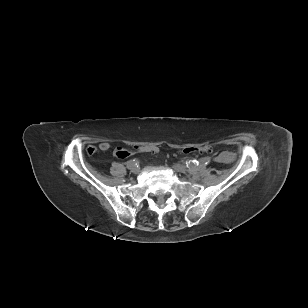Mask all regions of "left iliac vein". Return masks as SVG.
I'll use <instances>...</instances> for the list:
<instances>
[{
  "label": "left iliac vein",
  "mask_w": 308,
  "mask_h": 308,
  "mask_svg": "<svg viewBox=\"0 0 308 308\" xmlns=\"http://www.w3.org/2000/svg\"><path fill=\"white\" fill-rule=\"evenodd\" d=\"M173 169L177 172H181V173H186L187 172V168L183 165L180 164H174L173 165Z\"/></svg>",
  "instance_id": "left-iliac-vein-1"
}]
</instances>
